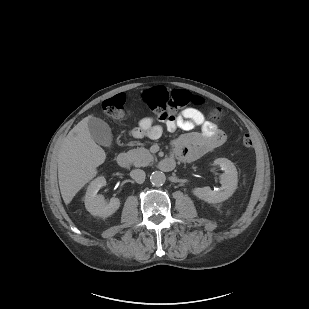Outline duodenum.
<instances>
[{
  "instance_id": "duodenum-1",
  "label": "duodenum",
  "mask_w": 309,
  "mask_h": 309,
  "mask_svg": "<svg viewBox=\"0 0 309 309\" xmlns=\"http://www.w3.org/2000/svg\"><path fill=\"white\" fill-rule=\"evenodd\" d=\"M116 161H117V164L122 168H128L131 164L129 156L124 152H121L118 154ZM174 166H175V161L174 159H171V158L163 159L159 163V167L163 171H170L174 168Z\"/></svg>"
}]
</instances>
